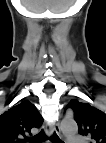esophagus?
Wrapping results in <instances>:
<instances>
[{
	"label": "esophagus",
	"mask_w": 106,
	"mask_h": 143,
	"mask_svg": "<svg viewBox=\"0 0 106 143\" xmlns=\"http://www.w3.org/2000/svg\"><path fill=\"white\" fill-rule=\"evenodd\" d=\"M54 133L59 137V139L61 140V143H65V139L62 136L60 126L58 123L53 126H49V128H48V136L49 137L53 136Z\"/></svg>",
	"instance_id": "obj_1"
}]
</instances>
